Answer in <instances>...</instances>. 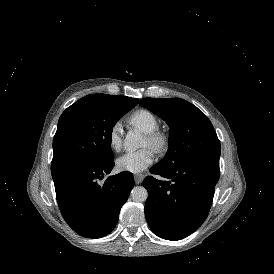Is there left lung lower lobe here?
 I'll use <instances>...</instances> for the list:
<instances>
[{
  "label": "left lung lower lobe",
  "instance_id": "1",
  "mask_svg": "<svg viewBox=\"0 0 274 274\" xmlns=\"http://www.w3.org/2000/svg\"><path fill=\"white\" fill-rule=\"evenodd\" d=\"M147 176L145 217L150 229L166 240H180L198 229L206 219L219 180V164L197 161L175 167L156 164Z\"/></svg>",
  "mask_w": 274,
  "mask_h": 274
}]
</instances>
